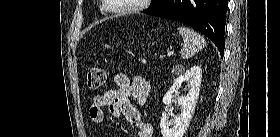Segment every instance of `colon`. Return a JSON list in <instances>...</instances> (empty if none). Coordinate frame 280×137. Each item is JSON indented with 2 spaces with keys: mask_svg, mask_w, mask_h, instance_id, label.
<instances>
[{
  "mask_svg": "<svg viewBox=\"0 0 280 137\" xmlns=\"http://www.w3.org/2000/svg\"><path fill=\"white\" fill-rule=\"evenodd\" d=\"M106 82V71L102 67H92L88 70L86 83L90 90H98Z\"/></svg>",
  "mask_w": 280,
  "mask_h": 137,
  "instance_id": "5ec220e1",
  "label": "colon"
}]
</instances>
